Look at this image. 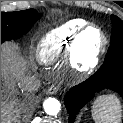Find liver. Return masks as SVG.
I'll list each match as a JSON object with an SVG mask.
<instances>
[{
	"label": "liver",
	"mask_w": 123,
	"mask_h": 123,
	"mask_svg": "<svg viewBox=\"0 0 123 123\" xmlns=\"http://www.w3.org/2000/svg\"><path fill=\"white\" fill-rule=\"evenodd\" d=\"M26 67L27 62L18 53L15 45L5 43L1 46V77L9 84V89H14L16 83L22 80ZM17 105L18 100L13 99L1 107V122L9 123L14 120L13 115L17 111Z\"/></svg>",
	"instance_id": "1"
}]
</instances>
